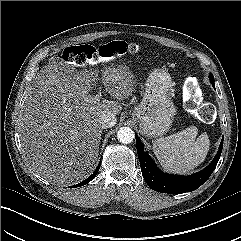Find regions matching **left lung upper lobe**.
<instances>
[{
	"mask_svg": "<svg viewBox=\"0 0 241 241\" xmlns=\"http://www.w3.org/2000/svg\"><path fill=\"white\" fill-rule=\"evenodd\" d=\"M210 78H211V79H210V80H211V82H214V77H213V75H212V74L210 75Z\"/></svg>",
	"mask_w": 241,
	"mask_h": 241,
	"instance_id": "1",
	"label": "left lung upper lobe"
}]
</instances>
